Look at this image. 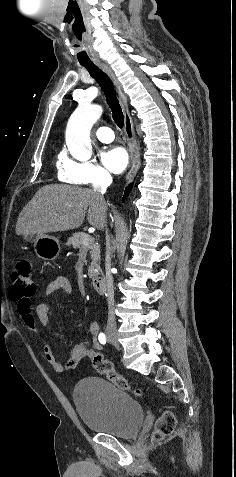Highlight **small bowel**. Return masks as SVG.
Here are the masks:
<instances>
[{
  "label": "small bowel",
  "mask_w": 236,
  "mask_h": 477,
  "mask_svg": "<svg viewBox=\"0 0 236 477\" xmlns=\"http://www.w3.org/2000/svg\"><path fill=\"white\" fill-rule=\"evenodd\" d=\"M58 291H64L71 294L73 291L72 284L65 276H57L49 282L46 286L43 296L48 297L55 294ZM51 312V304L43 301L36 307L33 312L31 308L19 311L20 317L24 323L30 328H36L37 325L46 327L49 322V316ZM99 324L97 322H91L88 325L89 338L86 342L78 344L70 348L68 358L65 362H61L50 344H45L43 353L46 361L52 366V368L58 373H65L69 369H75L85 358H90L94 355H99L101 345L98 339Z\"/></svg>",
  "instance_id": "c3829d8e"
}]
</instances>
